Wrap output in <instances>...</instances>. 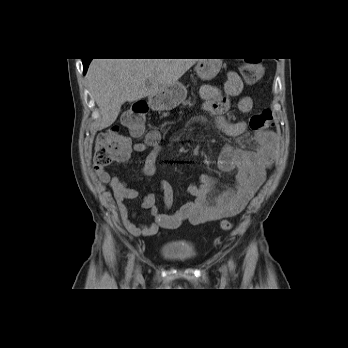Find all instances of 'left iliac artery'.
<instances>
[{
    "mask_svg": "<svg viewBox=\"0 0 348 348\" xmlns=\"http://www.w3.org/2000/svg\"><path fill=\"white\" fill-rule=\"evenodd\" d=\"M229 266H230L231 269H233V268H234L233 262H230V263H229Z\"/></svg>",
    "mask_w": 348,
    "mask_h": 348,
    "instance_id": "obj_1",
    "label": "left iliac artery"
}]
</instances>
